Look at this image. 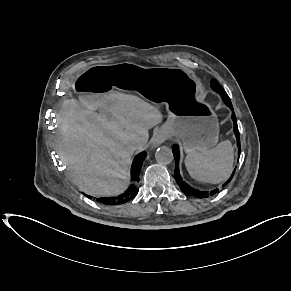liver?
Instances as JSON below:
<instances>
[{"instance_id":"6515ba94","label":"liver","mask_w":291,"mask_h":291,"mask_svg":"<svg viewBox=\"0 0 291 291\" xmlns=\"http://www.w3.org/2000/svg\"><path fill=\"white\" fill-rule=\"evenodd\" d=\"M162 119L158 108L120 92L66 100L57 118L60 159L81 191L93 196L120 194L129 183L134 153L130 145L144 148L148 130Z\"/></svg>"}]
</instances>
